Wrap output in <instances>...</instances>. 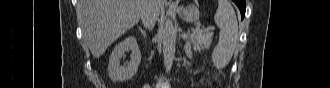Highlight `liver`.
I'll return each mask as SVG.
<instances>
[{
  "instance_id": "obj_1",
  "label": "liver",
  "mask_w": 330,
  "mask_h": 88,
  "mask_svg": "<svg viewBox=\"0 0 330 88\" xmlns=\"http://www.w3.org/2000/svg\"><path fill=\"white\" fill-rule=\"evenodd\" d=\"M146 5L147 0H79L77 14L92 55H103L109 45L138 23ZM161 6L162 1L156 0L158 15Z\"/></svg>"
}]
</instances>
